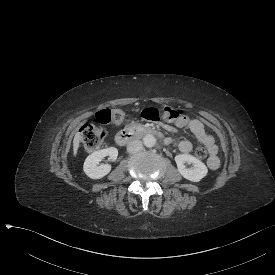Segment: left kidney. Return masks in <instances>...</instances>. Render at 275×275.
I'll return each instance as SVG.
<instances>
[{
	"label": "left kidney",
	"instance_id": "obj_1",
	"mask_svg": "<svg viewBox=\"0 0 275 275\" xmlns=\"http://www.w3.org/2000/svg\"><path fill=\"white\" fill-rule=\"evenodd\" d=\"M175 162L179 173L186 179L198 182L206 176L208 169L206 165L192 155L180 154L175 156ZM185 163L192 164L191 168H187Z\"/></svg>",
	"mask_w": 275,
	"mask_h": 275
}]
</instances>
